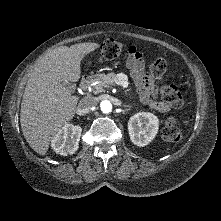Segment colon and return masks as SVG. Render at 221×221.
Listing matches in <instances>:
<instances>
[{
	"label": "colon",
	"instance_id": "1",
	"mask_svg": "<svg viewBox=\"0 0 221 221\" xmlns=\"http://www.w3.org/2000/svg\"><path fill=\"white\" fill-rule=\"evenodd\" d=\"M123 50V45L119 42L108 40L106 41L98 56V61H110L117 58ZM166 71V61L158 57L150 66L148 76L151 79L160 78ZM161 95L165 103L173 108H181L184 104V99L181 91L174 85H166L161 89ZM163 137L171 142H178L182 139V131L179 128L177 121L173 117L166 119L163 130Z\"/></svg>",
	"mask_w": 221,
	"mask_h": 221
}]
</instances>
